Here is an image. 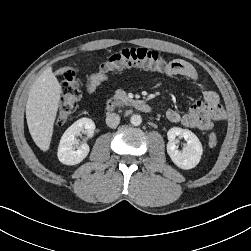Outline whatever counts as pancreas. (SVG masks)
Masks as SVG:
<instances>
[{
  "label": "pancreas",
  "instance_id": "pancreas-1",
  "mask_svg": "<svg viewBox=\"0 0 251 251\" xmlns=\"http://www.w3.org/2000/svg\"><path fill=\"white\" fill-rule=\"evenodd\" d=\"M114 99L122 100L124 102L128 101V96L125 91L119 89L115 91Z\"/></svg>",
  "mask_w": 251,
  "mask_h": 251
}]
</instances>
